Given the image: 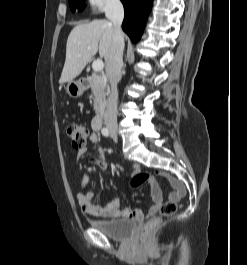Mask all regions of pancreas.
<instances>
[{"instance_id": "pancreas-1", "label": "pancreas", "mask_w": 247, "mask_h": 265, "mask_svg": "<svg viewBox=\"0 0 247 265\" xmlns=\"http://www.w3.org/2000/svg\"><path fill=\"white\" fill-rule=\"evenodd\" d=\"M90 79V87L94 96V110L99 113L105 105L106 101V84L104 79L96 74H92Z\"/></svg>"}]
</instances>
